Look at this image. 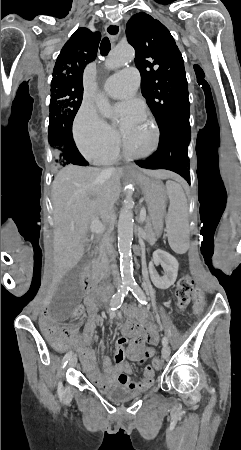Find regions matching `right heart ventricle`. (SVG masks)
<instances>
[{
    "label": "right heart ventricle",
    "mask_w": 241,
    "mask_h": 450,
    "mask_svg": "<svg viewBox=\"0 0 241 450\" xmlns=\"http://www.w3.org/2000/svg\"><path fill=\"white\" fill-rule=\"evenodd\" d=\"M117 151L115 150V153L111 156V157H109L108 159H106V160H103V161H100L101 163H113V162H115L116 161V159H117Z\"/></svg>",
    "instance_id": "1"
}]
</instances>
